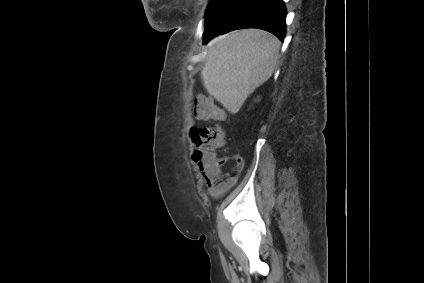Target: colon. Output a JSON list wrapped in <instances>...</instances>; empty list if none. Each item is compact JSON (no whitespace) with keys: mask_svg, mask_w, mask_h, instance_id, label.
Returning a JSON list of instances; mask_svg holds the SVG:
<instances>
[{"mask_svg":"<svg viewBox=\"0 0 424 283\" xmlns=\"http://www.w3.org/2000/svg\"><path fill=\"white\" fill-rule=\"evenodd\" d=\"M193 112L196 118L202 120L221 121L224 119L223 111L206 97L197 99ZM191 136L199 146L194 153V159L210 167L216 166L218 158L215 150L225 145V131L219 126H207L194 128Z\"/></svg>","mask_w":424,"mask_h":283,"instance_id":"obj_1","label":"colon"}]
</instances>
